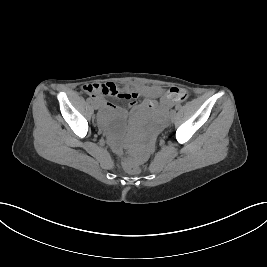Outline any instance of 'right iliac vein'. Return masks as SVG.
<instances>
[{
	"label": "right iliac vein",
	"mask_w": 267,
	"mask_h": 267,
	"mask_svg": "<svg viewBox=\"0 0 267 267\" xmlns=\"http://www.w3.org/2000/svg\"><path fill=\"white\" fill-rule=\"evenodd\" d=\"M92 106H93V108L96 109V110L99 108V105H98L96 102H93V103H92Z\"/></svg>",
	"instance_id": "right-iliac-vein-1"
}]
</instances>
